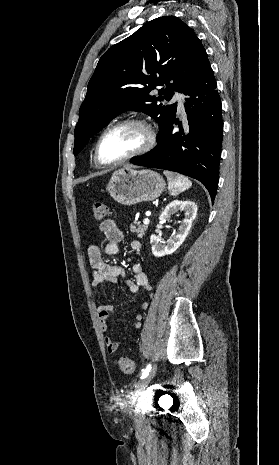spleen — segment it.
Returning <instances> with one entry per match:
<instances>
[{
  "instance_id": "3e777b00",
  "label": "spleen",
  "mask_w": 279,
  "mask_h": 465,
  "mask_svg": "<svg viewBox=\"0 0 279 465\" xmlns=\"http://www.w3.org/2000/svg\"><path fill=\"white\" fill-rule=\"evenodd\" d=\"M164 175L167 177L168 190L172 195H178L186 189H189L192 185V182L182 175L168 171H164Z\"/></svg>"
}]
</instances>
